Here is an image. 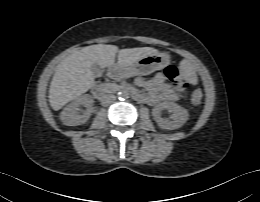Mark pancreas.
Segmentation results:
<instances>
[{"label": "pancreas", "mask_w": 260, "mask_h": 202, "mask_svg": "<svg viewBox=\"0 0 260 202\" xmlns=\"http://www.w3.org/2000/svg\"><path fill=\"white\" fill-rule=\"evenodd\" d=\"M115 87V84L113 83H106L104 84V90L109 91Z\"/></svg>", "instance_id": "pancreas-1"}]
</instances>
